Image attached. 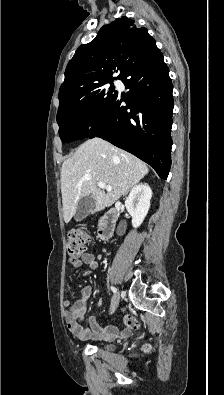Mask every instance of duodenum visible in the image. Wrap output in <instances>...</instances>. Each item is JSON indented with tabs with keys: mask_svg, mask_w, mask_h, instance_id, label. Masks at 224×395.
I'll list each match as a JSON object with an SVG mask.
<instances>
[{
	"mask_svg": "<svg viewBox=\"0 0 224 395\" xmlns=\"http://www.w3.org/2000/svg\"><path fill=\"white\" fill-rule=\"evenodd\" d=\"M117 217L118 212L114 207L106 208L103 211V215L98 228V237L100 240H108L113 237Z\"/></svg>",
	"mask_w": 224,
	"mask_h": 395,
	"instance_id": "obj_1",
	"label": "duodenum"
}]
</instances>
